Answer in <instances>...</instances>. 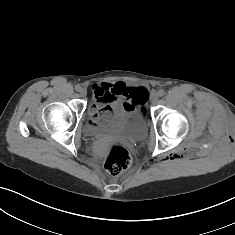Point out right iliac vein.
<instances>
[{"label": "right iliac vein", "mask_w": 235, "mask_h": 235, "mask_svg": "<svg viewBox=\"0 0 235 235\" xmlns=\"http://www.w3.org/2000/svg\"><path fill=\"white\" fill-rule=\"evenodd\" d=\"M79 92H80L81 96H83V97L86 96V94H87V91L84 88H81V90Z\"/></svg>", "instance_id": "1"}]
</instances>
